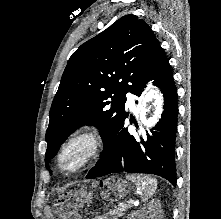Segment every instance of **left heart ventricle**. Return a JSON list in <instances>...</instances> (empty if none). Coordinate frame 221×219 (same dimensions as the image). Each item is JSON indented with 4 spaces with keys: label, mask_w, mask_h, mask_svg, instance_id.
<instances>
[{
    "label": "left heart ventricle",
    "mask_w": 221,
    "mask_h": 219,
    "mask_svg": "<svg viewBox=\"0 0 221 219\" xmlns=\"http://www.w3.org/2000/svg\"><path fill=\"white\" fill-rule=\"evenodd\" d=\"M86 153V146L83 143L75 144L71 149L65 154L62 165L65 169L71 170L75 168Z\"/></svg>",
    "instance_id": "left-heart-ventricle-1"
}]
</instances>
